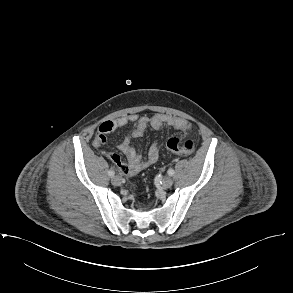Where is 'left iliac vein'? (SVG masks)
<instances>
[{"label": "left iliac vein", "instance_id": "1", "mask_svg": "<svg viewBox=\"0 0 293 293\" xmlns=\"http://www.w3.org/2000/svg\"><path fill=\"white\" fill-rule=\"evenodd\" d=\"M172 184H173L172 178H170L168 176H166V177L163 178V180H162L163 187L169 188V187L172 186Z\"/></svg>", "mask_w": 293, "mask_h": 293}]
</instances>
